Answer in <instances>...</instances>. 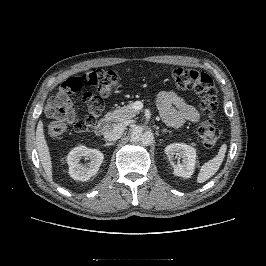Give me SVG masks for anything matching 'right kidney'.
<instances>
[{"mask_svg": "<svg viewBox=\"0 0 266 266\" xmlns=\"http://www.w3.org/2000/svg\"><path fill=\"white\" fill-rule=\"evenodd\" d=\"M82 157L90 159L88 166L80 163ZM103 159L104 155L99 150L89 149L83 145L75 147L67 156L69 174L74 180L87 181L97 174Z\"/></svg>", "mask_w": 266, "mask_h": 266, "instance_id": "obj_1", "label": "right kidney"}]
</instances>
